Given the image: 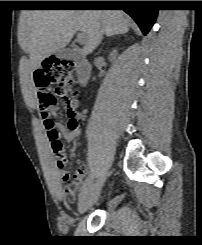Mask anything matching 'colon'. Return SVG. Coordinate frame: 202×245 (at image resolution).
<instances>
[{
  "mask_svg": "<svg viewBox=\"0 0 202 245\" xmlns=\"http://www.w3.org/2000/svg\"><path fill=\"white\" fill-rule=\"evenodd\" d=\"M75 78L76 67L70 60L46 62L35 70L37 108L43 116L45 126L51 127L54 122L52 117L53 93L64 100L71 117H74L82 108L83 100L80 90L75 86ZM74 125V122H70L69 128ZM47 136L51 139L54 149H62V142L55 130L50 131Z\"/></svg>",
  "mask_w": 202,
  "mask_h": 245,
  "instance_id": "1",
  "label": "colon"
}]
</instances>
